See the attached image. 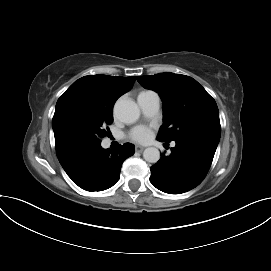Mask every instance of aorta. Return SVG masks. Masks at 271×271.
I'll return each mask as SVG.
<instances>
[{
    "mask_svg": "<svg viewBox=\"0 0 271 271\" xmlns=\"http://www.w3.org/2000/svg\"><path fill=\"white\" fill-rule=\"evenodd\" d=\"M114 114L121 122L131 124L138 120L140 109L131 99L121 98L115 103ZM143 158L149 163H156L160 159V152L155 147H148L143 152Z\"/></svg>",
    "mask_w": 271,
    "mask_h": 271,
    "instance_id": "obj_1",
    "label": "aorta"
}]
</instances>
